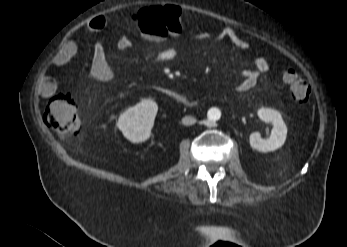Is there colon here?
I'll use <instances>...</instances> for the list:
<instances>
[{
	"instance_id": "5ec220e1",
	"label": "colon",
	"mask_w": 347,
	"mask_h": 247,
	"mask_svg": "<svg viewBox=\"0 0 347 247\" xmlns=\"http://www.w3.org/2000/svg\"><path fill=\"white\" fill-rule=\"evenodd\" d=\"M133 19L140 32L154 38H164L171 33L180 32L183 26V15L174 5L141 9L133 15ZM281 76L292 98L298 103H306L311 88L304 74L293 68H285ZM43 119L50 128L63 135H75L80 130L77 104L66 94L51 96Z\"/></svg>"
}]
</instances>
